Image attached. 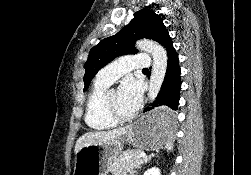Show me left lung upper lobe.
I'll list each match as a JSON object with an SVG mask.
<instances>
[{
	"mask_svg": "<svg viewBox=\"0 0 251 175\" xmlns=\"http://www.w3.org/2000/svg\"><path fill=\"white\" fill-rule=\"evenodd\" d=\"M167 33L163 18L154 11L142 9L136 12L127 26L90 50L85 63L84 91L87 90L96 73L114 58L137 52L134 47L136 40L148 38L160 43Z\"/></svg>",
	"mask_w": 251,
	"mask_h": 175,
	"instance_id": "5c2ea615",
	"label": "left lung upper lobe"
}]
</instances>
